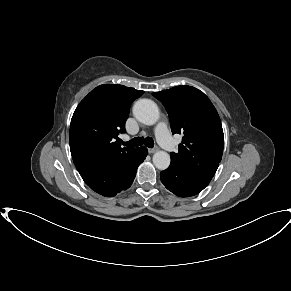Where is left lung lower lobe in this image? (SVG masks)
Listing matches in <instances>:
<instances>
[{
    "mask_svg": "<svg viewBox=\"0 0 291 291\" xmlns=\"http://www.w3.org/2000/svg\"><path fill=\"white\" fill-rule=\"evenodd\" d=\"M160 178L169 191L180 197L196 195L210 182L209 180L199 178L184 171L173 163L160 173Z\"/></svg>",
    "mask_w": 291,
    "mask_h": 291,
    "instance_id": "1",
    "label": "left lung lower lobe"
}]
</instances>
